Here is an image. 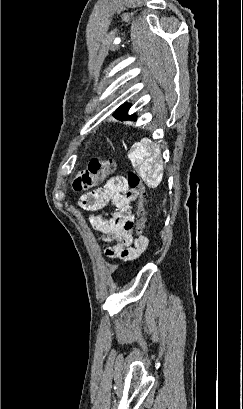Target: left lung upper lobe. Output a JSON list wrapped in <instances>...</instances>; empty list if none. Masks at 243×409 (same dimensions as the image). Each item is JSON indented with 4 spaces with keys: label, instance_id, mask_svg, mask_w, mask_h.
I'll use <instances>...</instances> for the list:
<instances>
[{
    "label": "left lung upper lobe",
    "instance_id": "5c2ea615",
    "mask_svg": "<svg viewBox=\"0 0 243 409\" xmlns=\"http://www.w3.org/2000/svg\"><path fill=\"white\" fill-rule=\"evenodd\" d=\"M128 109H129V105H128V104H124V105L120 106V107L116 110L115 114H122V113L126 112Z\"/></svg>",
    "mask_w": 243,
    "mask_h": 409
}]
</instances>
